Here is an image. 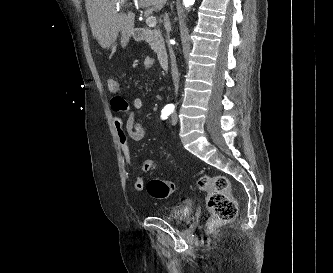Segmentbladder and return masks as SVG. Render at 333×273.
Wrapping results in <instances>:
<instances>
[{
    "label": "bladder",
    "mask_w": 333,
    "mask_h": 273,
    "mask_svg": "<svg viewBox=\"0 0 333 273\" xmlns=\"http://www.w3.org/2000/svg\"><path fill=\"white\" fill-rule=\"evenodd\" d=\"M191 216L192 205L188 202H180L169 207L164 218L172 222H183L190 219Z\"/></svg>",
    "instance_id": "1"
}]
</instances>
